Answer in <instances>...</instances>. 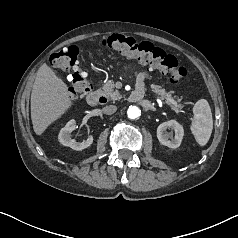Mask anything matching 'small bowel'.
<instances>
[{
  "instance_id": "obj_1",
  "label": "small bowel",
  "mask_w": 238,
  "mask_h": 238,
  "mask_svg": "<svg viewBox=\"0 0 238 238\" xmlns=\"http://www.w3.org/2000/svg\"><path fill=\"white\" fill-rule=\"evenodd\" d=\"M149 78V73L147 71L141 72L137 76V86H144V82Z\"/></svg>"
}]
</instances>
